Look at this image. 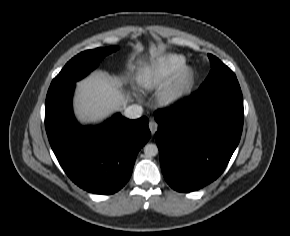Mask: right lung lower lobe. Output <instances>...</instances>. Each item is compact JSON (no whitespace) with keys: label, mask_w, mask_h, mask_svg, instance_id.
Returning a JSON list of instances; mask_svg holds the SVG:
<instances>
[{"label":"right lung lower lobe","mask_w":290,"mask_h":236,"mask_svg":"<svg viewBox=\"0 0 290 236\" xmlns=\"http://www.w3.org/2000/svg\"><path fill=\"white\" fill-rule=\"evenodd\" d=\"M75 82L50 85L45 127L52 150L67 176L82 189L113 194L129 180L139 150L150 138L148 119L120 114L100 126L82 127L72 112Z\"/></svg>","instance_id":"98d812e1"}]
</instances>
